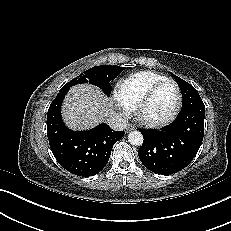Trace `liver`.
<instances>
[{
	"instance_id": "1",
	"label": "liver",
	"mask_w": 231,
	"mask_h": 231,
	"mask_svg": "<svg viewBox=\"0 0 231 231\" xmlns=\"http://www.w3.org/2000/svg\"><path fill=\"white\" fill-rule=\"evenodd\" d=\"M112 101L98 88L78 84L68 91L62 105L65 124L73 130L94 128L112 113Z\"/></svg>"
}]
</instances>
